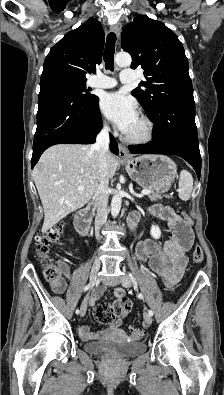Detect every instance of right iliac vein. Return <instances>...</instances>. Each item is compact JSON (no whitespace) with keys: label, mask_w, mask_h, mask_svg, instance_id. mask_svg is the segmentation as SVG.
I'll list each match as a JSON object with an SVG mask.
<instances>
[{"label":"right iliac vein","mask_w":224,"mask_h":395,"mask_svg":"<svg viewBox=\"0 0 224 395\" xmlns=\"http://www.w3.org/2000/svg\"><path fill=\"white\" fill-rule=\"evenodd\" d=\"M100 266H101V262L98 258H96L93 262L92 265V269L90 272V283L93 284L96 280L97 274L100 270ZM86 309H87V298L85 299V301L83 302L82 306H81V316H84L86 313Z\"/></svg>","instance_id":"63e3f726"}]
</instances>
